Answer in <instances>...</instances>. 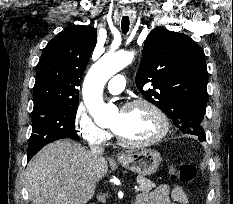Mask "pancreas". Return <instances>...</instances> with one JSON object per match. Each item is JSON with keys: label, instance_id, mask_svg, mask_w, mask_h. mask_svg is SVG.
<instances>
[{"label": "pancreas", "instance_id": "cf45deb5", "mask_svg": "<svg viewBox=\"0 0 233 204\" xmlns=\"http://www.w3.org/2000/svg\"><path fill=\"white\" fill-rule=\"evenodd\" d=\"M137 183L139 184V191L142 193H148L156 187L155 183L143 176H137Z\"/></svg>", "mask_w": 233, "mask_h": 204}]
</instances>
